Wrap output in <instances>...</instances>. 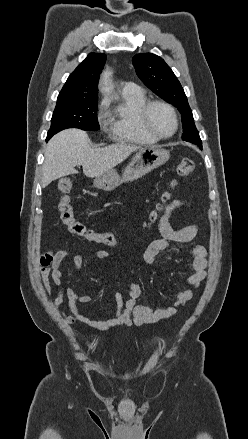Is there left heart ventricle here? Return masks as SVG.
<instances>
[{
	"label": "left heart ventricle",
	"mask_w": 248,
	"mask_h": 439,
	"mask_svg": "<svg viewBox=\"0 0 248 439\" xmlns=\"http://www.w3.org/2000/svg\"><path fill=\"white\" fill-rule=\"evenodd\" d=\"M152 127L162 135L170 134L174 129V120L167 108L161 105L152 107L150 111Z\"/></svg>",
	"instance_id": "b2bd125f"
}]
</instances>
